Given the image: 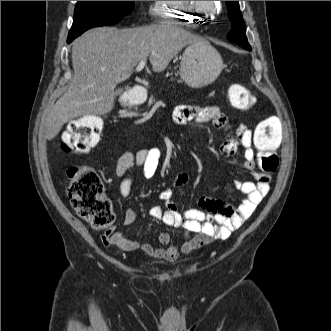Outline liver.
I'll list each match as a JSON object with an SVG mask.
<instances>
[{
  "instance_id": "1",
  "label": "liver",
  "mask_w": 331,
  "mask_h": 331,
  "mask_svg": "<svg viewBox=\"0 0 331 331\" xmlns=\"http://www.w3.org/2000/svg\"><path fill=\"white\" fill-rule=\"evenodd\" d=\"M201 40L171 22L88 30L72 43L74 76L43 120L46 139L55 138L74 118L109 113L114 108L116 86L132 75L142 59L149 57L153 71L162 72L186 45Z\"/></svg>"
}]
</instances>
